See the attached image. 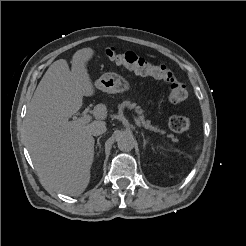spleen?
<instances>
[{
    "mask_svg": "<svg viewBox=\"0 0 246 246\" xmlns=\"http://www.w3.org/2000/svg\"><path fill=\"white\" fill-rule=\"evenodd\" d=\"M199 149V146L197 145L196 147H195V150H198Z\"/></svg>",
    "mask_w": 246,
    "mask_h": 246,
    "instance_id": "obj_1",
    "label": "spleen"
}]
</instances>
